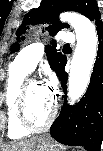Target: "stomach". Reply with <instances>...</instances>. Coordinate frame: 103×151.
Returning <instances> with one entry per match:
<instances>
[{
    "label": "stomach",
    "mask_w": 103,
    "mask_h": 151,
    "mask_svg": "<svg viewBox=\"0 0 103 151\" xmlns=\"http://www.w3.org/2000/svg\"><path fill=\"white\" fill-rule=\"evenodd\" d=\"M33 151H62L60 146L48 136L38 138Z\"/></svg>",
    "instance_id": "0dacf381"
}]
</instances>
